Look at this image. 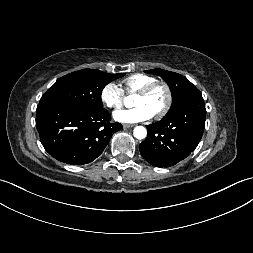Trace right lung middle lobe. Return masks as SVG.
<instances>
[{
    "instance_id": "dd1d6c3e",
    "label": "right lung middle lobe",
    "mask_w": 253,
    "mask_h": 253,
    "mask_svg": "<svg viewBox=\"0 0 253 253\" xmlns=\"http://www.w3.org/2000/svg\"><path fill=\"white\" fill-rule=\"evenodd\" d=\"M124 75L108 74L94 69L72 72L58 79L42 95L40 103L63 104L100 111L104 109L101 100L103 88Z\"/></svg>"
}]
</instances>
